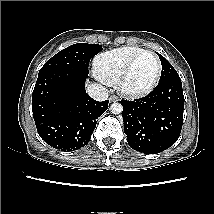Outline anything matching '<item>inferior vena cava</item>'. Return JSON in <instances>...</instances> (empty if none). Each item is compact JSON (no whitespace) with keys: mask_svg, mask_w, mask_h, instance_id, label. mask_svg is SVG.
Returning <instances> with one entry per match:
<instances>
[{"mask_svg":"<svg viewBox=\"0 0 214 214\" xmlns=\"http://www.w3.org/2000/svg\"><path fill=\"white\" fill-rule=\"evenodd\" d=\"M87 93L91 98L97 101H104L108 98L107 88L98 83L88 85Z\"/></svg>","mask_w":214,"mask_h":214,"instance_id":"obj_1","label":"inferior vena cava"}]
</instances>
